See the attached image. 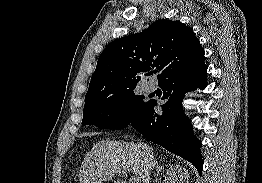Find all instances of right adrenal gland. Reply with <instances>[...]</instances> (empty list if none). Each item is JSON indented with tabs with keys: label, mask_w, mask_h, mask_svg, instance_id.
<instances>
[{
	"label": "right adrenal gland",
	"mask_w": 262,
	"mask_h": 183,
	"mask_svg": "<svg viewBox=\"0 0 262 183\" xmlns=\"http://www.w3.org/2000/svg\"><path fill=\"white\" fill-rule=\"evenodd\" d=\"M162 170H164V166H163V165H160V164L158 163V161L156 160V172H157V174H156V179H155V182H156V183H158V181H159V174H160V172H161Z\"/></svg>",
	"instance_id": "1"
}]
</instances>
